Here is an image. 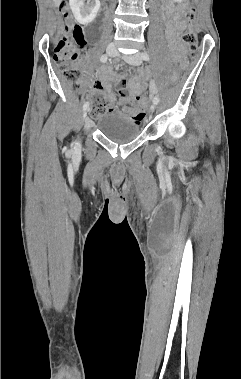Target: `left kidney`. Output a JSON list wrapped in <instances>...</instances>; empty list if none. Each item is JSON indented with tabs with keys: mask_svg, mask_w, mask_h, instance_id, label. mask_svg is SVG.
Wrapping results in <instances>:
<instances>
[{
	"mask_svg": "<svg viewBox=\"0 0 241 379\" xmlns=\"http://www.w3.org/2000/svg\"><path fill=\"white\" fill-rule=\"evenodd\" d=\"M174 1H177V2H179V1H181V0H174Z\"/></svg>",
	"mask_w": 241,
	"mask_h": 379,
	"instance_id": "left-kidney-1",
	"label": "left kidney"
}]
</instances>
